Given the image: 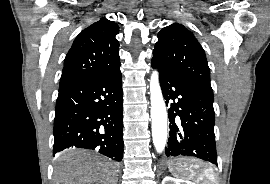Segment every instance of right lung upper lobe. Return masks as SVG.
<instances>
[{"instance_id":"obj_1","label":"right lung upper lobe","mask_w":270,"mask_h":184,"mask_svg":"<svg viewBox=\"0 0 270 184\" xmlns=\"http://www.w3.org/2000/svg\"><path fill=\"white\" fill-rule=\"evenodd\" d=\"M118 32L119 26L104 17L84 29L65 57L60 85L120 68Z\"/></svg>"}]
</instances>
